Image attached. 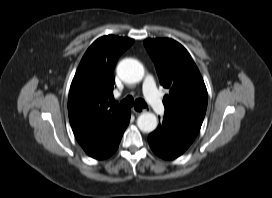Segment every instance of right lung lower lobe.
Segmentation results:
<instances>
[{
    "mask_svg": "<svg viewBox=\"0 0 272 198\" xmlns=\"http://www.w3.org/2000/svg\"><path fill=\"white\" fill-rule=\"evenodd\" d=\"M130 109H125L92 139L81 144L84 151L95 159H105L118 148L123 132L130 121Z\"/></svg>",
    "mask_w": 272,
    "mask_h": 198,
    "instance_id": "1",
    "label": "right lung lower lobe"
}]
</instances>
